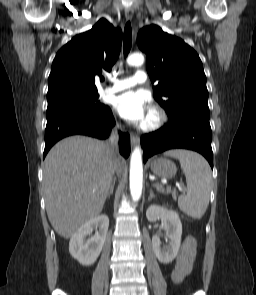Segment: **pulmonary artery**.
<instances>
[{
    "instance_id": "1",
    "label": "pulmonary artery",
    "mask_w": 256,
    "mask_h": 295,
    "mask_svg": "<svg viewBox=\"0 0 256 295\" xmlns=\"http://www.w3.org/2000/svg\"><path fill=\"white\" fill-rule=\"evenodd\" d=\"M146 80V72L143 70H137L133 76L116 80L113 85L104 88L102 92L105 94L116 93L131 88L137 84H143Z\"/></svg>"
}]
</instances>
